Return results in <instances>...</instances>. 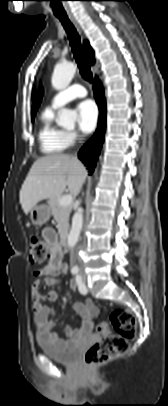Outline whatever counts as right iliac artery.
Listing matches in <instances>:
<instances>
[{
  "label": "right iliac artery",
  "mask_w": 168,
  "mask_h": 406,
  "mask_svg": "<svg viewBox=\"0 0 168 406\" xmlns=\"http://www.w3.org/2000/svg\"><path fill=\"white\" fill-rule=\"evenodd\" d=\"M79 269L77 267L72 268L71 272L72 274H77Z\"/></svg>",
  "instance_id": "82829eb1"
}]
</instances>
